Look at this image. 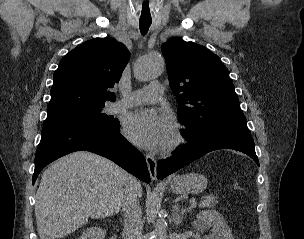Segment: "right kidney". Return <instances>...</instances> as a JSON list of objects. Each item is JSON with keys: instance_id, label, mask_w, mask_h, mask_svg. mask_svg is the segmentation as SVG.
I'll use <instances>...</instances> for the list:
<instances>
[{"instance_id": "1", "label": "right kidney", "mask_w": 304, "mask_h": 239, "mask_svg": "<svg viewBox=\"0 0 304 239\" xmlns=\"http://www.w3.org/2000/svg\"><path fill=\"white\" fill-rule=\"evenodd\" d=\"M105 231L98 227L87 228L79 239H103Z\"/></svg>"}]
</instances>
